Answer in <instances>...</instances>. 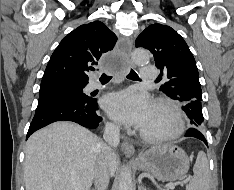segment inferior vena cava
<instances>
[{
  "mask_svg": "<svg viewBox=\"0 0 234 190\" xmlns=\"http://www.w3.org/2000/svg\"><path fill=\"white\" fill-rule=\"evenodd\" d=\"M103 138L105 143L100 146V153L94 173L95 190H106L109 184L110 160L115 155L114 148L120 142V128L117 124L107 123L105 125Z\"/></svg>",
  "mask_w": 234,
  "mask_h": 190,
  "instance_id": "1",
  "label": "inferior vena cava"
}]
</instances>
